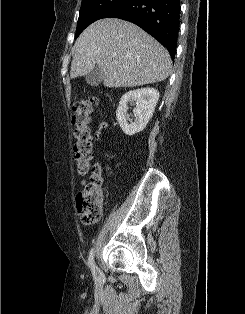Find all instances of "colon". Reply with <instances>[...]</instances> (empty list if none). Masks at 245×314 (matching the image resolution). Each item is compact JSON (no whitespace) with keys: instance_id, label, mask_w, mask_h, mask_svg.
<instances>
[{"instance_id":"colon-1","label":"colon","mask_w":245,"mask_h":314,"mask_svg":"<svg viewBox=\"0 0 245 314\" xmlns=\"http://www.w3.org/2000/svg\"><path fill=\"white\" fill-rule=\"evenodd\" d=\"M98 104V98L88 96L76 102L72 123L75 127L74 161L81 180V190L76 196V208L81 223L95 224L101 217L103 201L101 168L92 163L91 113ZM89 174V177H85Z\"/></svg>"}]
</instances>
